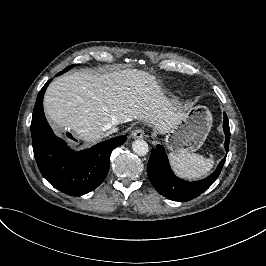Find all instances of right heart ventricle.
I'll return each instance as SVG.
<instances>
[{"label": "right heart ventricle", "mask_w": 266, "mask_h": 266, "mask_svg": "<svg viewBox=\"0 0 266 266\" xmlns=\"http://www.w3.org/2000/svg\"><path fill=\"white\" fill-rule=\"evenodd\" d=\"M169 93L168 89L162 88L159 89L156 94L153 95L152 100L157 101L163 97H165Z\"/></svg>", "instance_id": "right-heart-ventricle-1"}]
</instances>
